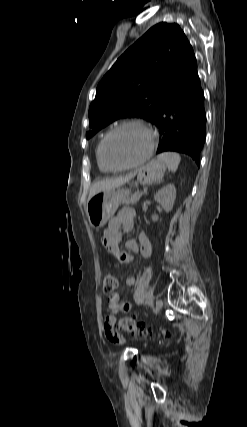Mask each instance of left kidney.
Wrapping results in <instances>:
<instances>
[{
  "instance_id": "5707ae66",
  "label": "left kidney",
  "mask_w": 247,
  "mask_h": 427,
  "mask_svg": "<svg viewBox=\"0 0 247 427\" xmlns=\"http://www.w3.org/2000/svg\"><path fill=\"white\" fill-rule=\"evenodd\" d=\"M176 198V188L174 184H167L161 188L154 196V200L161 204L168 213L172 210Z\"/></svg>"
}]
</instances>
